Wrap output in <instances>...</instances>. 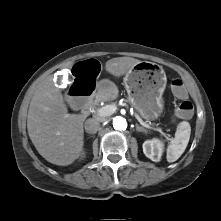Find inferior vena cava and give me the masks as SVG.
I'll use <instances>...</instances> for the list:
<instances>
[{
	"label": "inferior vena cava",
	"mask_w": 221,
	"mask_h": 221,
	"mask_svg": "<svg viewBox=\"0 0 221 221\" xmlns=\"http://www.w3.org/2000/svg\"><path fill=\"white\" fill-rule=\"evenodd\" d=\"M87 133L94 134L100 129V121L95 118H89L84 124Z\"/></svg>",
	"instance_id": "inferior-vena-cava-1"
}]
</instances>
